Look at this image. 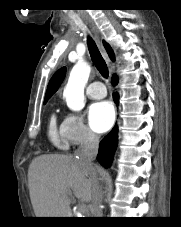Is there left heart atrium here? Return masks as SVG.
I'll use <instances>...</instances> for the list:
<instances>
[{"instance_id":"1","label":"left heart atrium","mask_w":181,"mask_h":227,"mask_svg":"<svg viewBox=\"0 0 181 227\" xmlns=\"http://www.w3.org/2000/svg\"><path fill=\"white\" fill-rule=\"evenodd\" d=\"M88 119L94 131L103 133L109 130L115 120L113 105L109 101L93 103L88 110Z\"/></svg>"}]
</instances>
